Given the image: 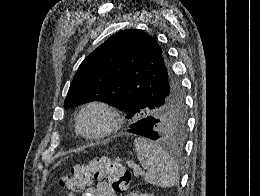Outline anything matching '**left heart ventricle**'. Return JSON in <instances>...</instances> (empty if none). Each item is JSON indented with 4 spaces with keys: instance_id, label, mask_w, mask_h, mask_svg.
<instances>
[{
    "instance_id": "1",
    "label": "left heart ventricle",
    "mask_w": 260,
    "mask_h": 196,
    "mask_svg": "<svg viewBox=\"0 0 260 196\" xmlns=\"http://www.w3.org/2000/svg\"><path fill=\"white\" fill-rule=\"evenodd\" d=\"M109 113L100 108L92 107L88 109L80 120V128L88 134H95L105 129L110 123Z\"/></svg>"
}]
</instances>
